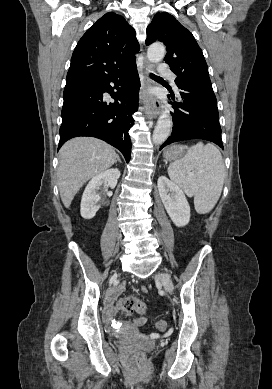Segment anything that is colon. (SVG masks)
<instances>
[{
    "label": "colon",
    "instance_id": "1",
    "mask_svg": "<svg viewBox=\"0 0 272 389\" xmlns=\"http://www.w3.org/2000/svg\"><path fill=\"white\" fill-rule=\"evenodd\" d=\"M117 310L125 314H143L146 311V305L136 297L127 296L118 300ZM156 328L160 331L166 330L167 322L165 320L157 321ZM132 360L137 365H143L145 363V355L142 352H135L132 354Z\"/></svg>",
    "mask_w": 272,
    "mask_h": 389
}]
</instances>
